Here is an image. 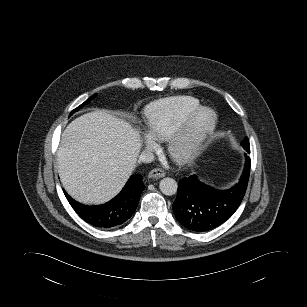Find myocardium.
Segmentation results:
<instances>
[{"mask_svg":"<svg viewBox=\"0 0 307 307\" xmlns=\"http://www.w3.org/2000/svg\"><path fill=\"white\" fill-rule=\"evenodd\" d=\"M202 114H208L209 119L203 126L197 127L196 120ZM218 117L216 112L204 106L191 111L180 126L167 139L168 154L179 163L193 160L216 129Z\"/></svg>","mask_w":307,"mask_h":307,"instance_id":"1","label":"myocardium"}]
</instances>
